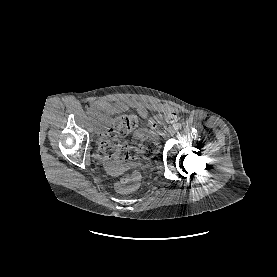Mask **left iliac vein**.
<instances>
[{
	"label": "left iliac vein",
	"mask_w": 277,
	"mask_h": 277,
	"mask_svg": "<svg viewBox=\"0 0 277 277\" xmlns=\"http://www.w3.org/2000/svg\"><path fill=\"white\" fill-rule=\"evenodd\" d=\"M177 132V128L175 127V125H171L168 128V133L173 136L175 133Z\"/></svg>",
	"instance_id": "left-iliac-vein-1"
}]
</instances>
